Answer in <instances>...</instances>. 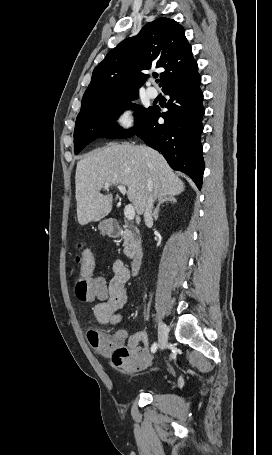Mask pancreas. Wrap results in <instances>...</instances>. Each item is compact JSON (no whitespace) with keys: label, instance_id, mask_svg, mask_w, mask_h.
I'll use <instances>...</instances> for the list:
<instances>
[{"label":"pancreas","instance_id":"pancreas-1","mask_svg":"<svg viewBox=\"0 0 272 455\" xmlns=\"http://www.w3.org/2000/svg\"><path fill=\"white\" fill-rule=\"evenodd\" d=\"M124 241V254L129 258H134L135 254L141 248V240L137 237L136 233L128 228L123 232Z\"/></svg>","mask_w":272,"mask_h":455}]
</instances>
